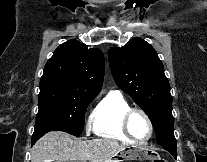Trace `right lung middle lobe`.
<instances>
[{
  "label": "right lung middle lobe",
  "mask_w": 207,
  "mask_h": 162,
  "mask_svg": "<svg viewBox=\"0 0 207 162\" xmlns=\"http://www.w3.org/2000/svg\"><path fill=\"white\" fill-rule=\"evenodd\" d=\"M95 97L54 89L40 90L33 135L60 130L79 136L83 132L86 108Z\"/></svg>",
  "instance_id": "right-lung-middle-lobe-1"
}]
</instances>
